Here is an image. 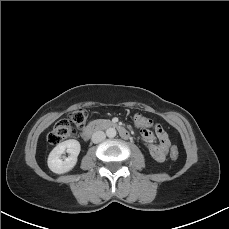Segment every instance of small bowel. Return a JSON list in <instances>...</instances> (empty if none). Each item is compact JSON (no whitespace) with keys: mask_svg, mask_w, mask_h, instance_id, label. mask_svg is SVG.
Instances as JSON below:
<instances>
[{"mask_svg":"<svg viewBox=\"0 0 229 229\" xmlns=\"http://www.w3.org/2000/svg\"><path fill=\"white\" fill-rule=\"evenodd\" d=\"M142 118L145 123L140 127L142 128V134L146 143V147L151 157L156 162H164L170 148L169 138L163 129L158 125L155 126L156 132L154 135V133L149 129L153 125L152 121L145 117ZM156 138L158 139V143L155 142Z\"/></svg>","mask_w":229,"mask_h":229,"instance_id":"c3829d8e","label":"small bowel"}]
</instances>
